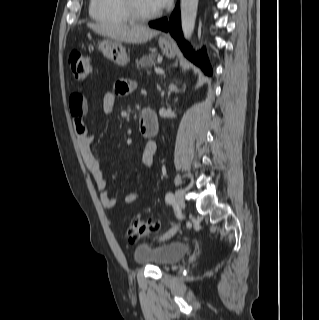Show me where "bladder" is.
Listing matches in <instances>:
<instances>
[{"mask_svg":"<svg viewBox=\"0 0 319 320\" xmlns=\"http://www.w3.org/2000/svg\"><path fill=\"white\" fill-rule=\"evenodd\" d=\"M188 247L180 242L159 243L155 240L140 243L133 251L136 263L166 267L180 261Z\"/></svg>","mask_w":319,"mask_h":320,"instance_id":"obj_1","label":"bladder"}]
</instances>
